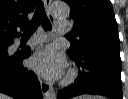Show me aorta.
Returning a JSON list of instances; mask_svg holds the SVG:
<instances>
[{"label": "aorta", "instance_id": "aorta-1", "mask_svg": "<svg viewBox=\"0 0 128 99\" xmlns=\"http://www.w3.org/2000/svg\"><path fill=\"white\" fill-rule=\"evenodd\" d=\"M52 14L56 18H66L70 14V8L68 4L61 0H56L51 5ZM57 95L55 91L50 90L46 93L45 99H56Z\"/></svg>", "mask_w": 128, "mask_h": 99}]
</instances>
